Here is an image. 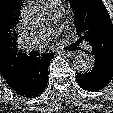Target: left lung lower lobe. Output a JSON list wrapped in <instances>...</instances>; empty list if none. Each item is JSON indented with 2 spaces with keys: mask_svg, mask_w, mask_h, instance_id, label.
<instances>
[{
  "mask_svg": "<svg viewBox=\"0 0 113 113\" xmlns=\"http://www.w3.org/2000/svg\"><path fill=\"white\" fill-rule=\"evenodd\" d=\"M92 56L95 57L93 69L85 74H77L76 80L81 88L88 91H98L107 86L113 77V51L93 44Z\"/></svg>",
  "mask_w": 113,
  "mask_h": 113,
  "instance_id": "left-lung-lower-lobe-1",
  "label": "left lung lower lobe"
}]
</instances>
